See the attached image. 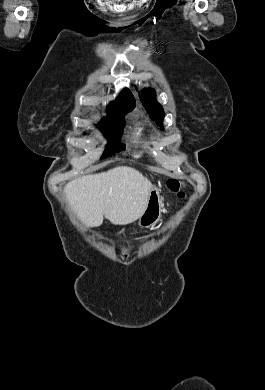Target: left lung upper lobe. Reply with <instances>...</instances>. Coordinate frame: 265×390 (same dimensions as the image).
I'll return each mask as SVG.
<instances>
[{
  "label": "left lung upper lobe",
  "mask_w": 265,
  "mask_h": 390,
  "mask_svg": "<svg viewBox=\"0 0 265 390\" xmlns=\"http://www.w3.org/2000/svg\"><path fill=\"white\" fill-rule=\"evenodd\" d=\"M142 103L152 119L156 120L158 125H162L164 119V110L156 101V93L154 89H145L142 91Z\"/></svg>",
  "instance_id": "5c2ea615"
}]
</instances>
